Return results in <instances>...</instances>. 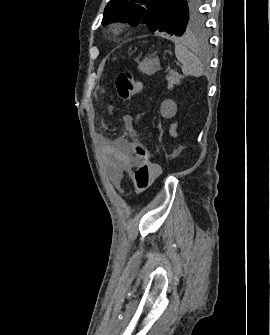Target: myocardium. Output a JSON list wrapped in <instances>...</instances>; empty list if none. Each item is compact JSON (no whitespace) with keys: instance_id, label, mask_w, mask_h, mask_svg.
<instances>
[{"instance_id":"1","label":"myocardium","mask_w":270,"mask_h":335,"mask_svg":"<svg viewBox=\"0 0 270 335\" xmlns=\"http://www.w3.org/2000/svg\"><path fill=\"white\" fill-rule=\"evenodd\" d=\"M113 32L115 33H119L122 30V26L121 25H114L112 28Z\"/></svg>"}]
</instances>
